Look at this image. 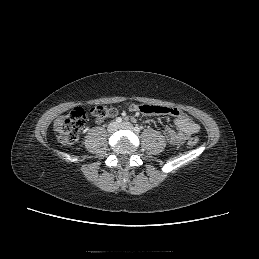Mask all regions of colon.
<instances>
[{"mask_svg": "<svg viewBox=\"0 0 259 259\" xmlns=\"http://www.w3.org/2000/svg\"><path fill=\"white\" fill-rule=\"evenodd\" d=\"M91 114L96 121L100 122L118 114L114 107L98 105L91 108L77 107L65 115L59 116L53 125L57 141L65 146L75 144L80 135L81 129L85 126ZM199 142L197 137L188 140L190 146H195Z\"/></svg>", "mask_w": 259, "mask_h": 259, "instance_id": "colon-1", "label": "colon"}]
</instances>
